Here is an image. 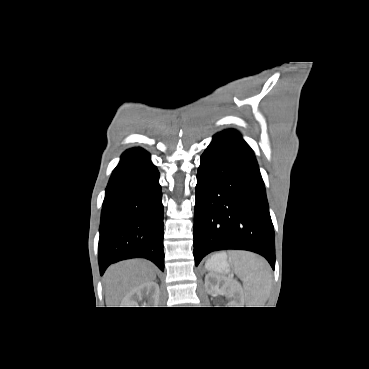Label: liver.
Wrapping results in <instances>:
<instances>
[{"mask_svg":"<svg viewBox=\"0 0 369 369\" xmlns=\"http://www.w3.org/2000/svg\"><path fill=\"white\" fill-rule=\"evenodd\" d=\"M155 278V268L145 260L132 259L111 265L103 278L107 307H117L131 290Z\"/></svg>","mask_w":369,"mask_h":369,"instance_id":"6515ba94","label":"liver"}]
</instances>
